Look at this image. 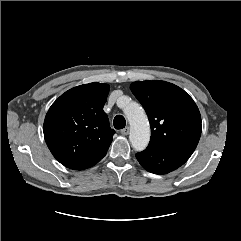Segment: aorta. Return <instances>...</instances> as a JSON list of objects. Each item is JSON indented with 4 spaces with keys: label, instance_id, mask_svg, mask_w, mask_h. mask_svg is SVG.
Here are the masks:
<instances>
[{
    "label": "aorta",
    "instance_id": "aorta-1",
    "mask_svg": "<svg viewBox=\"0 0 241 241\" xmlns=\"http://www.w3.org/2000/svg\"><path fill=\"white\" fill-rule=\"evenodd\" d=\"M124 114L130 123L129 139L136 151L144 150L150 140V127L143 108L135 102H128L124 106Z\"/></svg>",
    "mask_w": 241,
    "mask_h": 241
}]
</instances>
